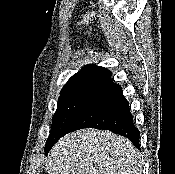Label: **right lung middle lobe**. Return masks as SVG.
Listing matches in <instances>:
<instances>
[{
    "mask_svg": "<svg viewBox=\"0 0 175 174\" xmlns=\"http://www.w3.org/2000/svg\"><path fill=\"white\" fill-rule=\"evenodd\" d=\"M89 93H73L61 95L57 102V110L53 115L52 129L46 147L55 144L64 134L70 121L75 116Z\"/></svg>",
    "mask_w": 175,
    "mask_h": 174,
    "instance_id": "1",
    "label": "right lung middle lobe"
}]
</instances>
